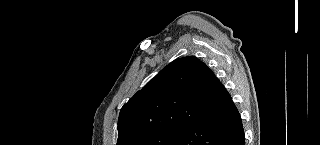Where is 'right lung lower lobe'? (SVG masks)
<instances>
[{
  "label": "right lung lower lobe",
  "instance_id": "1",
  "mask_svg": "<svg viewBox=\"0 0 320 145\" xmlns=\"http://www.w3.org/2000/svg\"><path fill=\"white\" fill-rule=\"evenodd\" d=\"M221 91L222 99L216 112L184 128L169 145H244L240 114L224 86Z\"/></svg>",
  "mask_w": 320,
  "mask_h": 145
}]
</instances>
